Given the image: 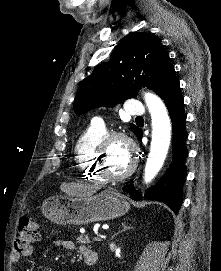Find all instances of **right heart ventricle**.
<instances>
[{"label": "right heart ventricle", "instance_id": "e07e8e85", "mask_svg": "<svg viewBox=\"0 0 221 271\" xmlns=\"http://www.w3.org/2000/svg\"><path fill=\"white\" fill-rule=\"evenodd\" d=\"M106 136V133L98 132L78 138L76 143L78 158L75 159V164H79L80 179H92V183H104V178H101L99 171H96L94 158H98V155H94V150H98L99 144H102Z\"/></svg>", "mask_w": 221, "mask_h": 271}]
</instances>
